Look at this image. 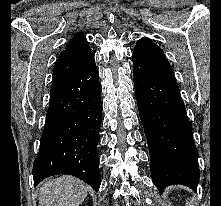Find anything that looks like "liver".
<instances>
[{"mask_svg":"<svg viewBox=\"0 0 221 206\" xmlns=\"http://www.w3.org/2000/svg\"><path fill=\"white\" fill-rule=\"evenodd\" d=\"M88 189L84 182L72 176L47 180L39 190V206H79Z\"/></svg>","mask_w":221,"mask_h":206,"instance_id":"liver-1","label":"liver"}]
</instances>
